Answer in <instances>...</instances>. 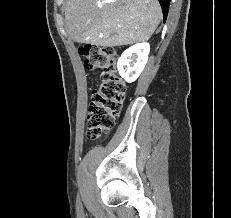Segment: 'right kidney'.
Returning a JSON list of instances; mask_svg holds the SVG:
<instances>
[{
  "mask_svg": "<svg viewBox=\"0 0 231 218\" xmlns=\"http://www.w3.org/2000/svg\"><path fill=\"white\" fill-rule=\"evenodd\" d=\"M150 52L148 43H140L125 50L117 62L118 72L127 82H134L143 71Z\"/></svg>",
  "mask_w": 231,
  "mask_h": 218,
  "instance_id": "1",
  "label": "right kidney"
}]
</instances>
